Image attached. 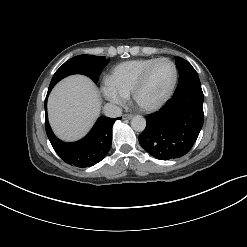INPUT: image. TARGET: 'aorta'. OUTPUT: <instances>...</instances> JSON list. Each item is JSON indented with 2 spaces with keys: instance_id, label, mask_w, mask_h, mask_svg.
Wrapping results in <instances>:
<instances>
[{
  "instance_id": "762f6f07",
  "label": "aorta",
  "mask_w": 247,
  "mask_h": 247,
  "mask_svg": "<svg viewBox=\"0 0 247 247\" xmlns=\"http://www.w3.org/2000/svg\"><path fill=\"white\" fill-rule=\"evenodd\" d=\"M131 126L135 131L142 132L145 129L146 120L140 115L134 116L131 120Z\"/></svg>"
}]
</instances>
